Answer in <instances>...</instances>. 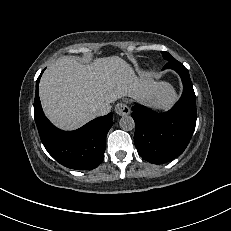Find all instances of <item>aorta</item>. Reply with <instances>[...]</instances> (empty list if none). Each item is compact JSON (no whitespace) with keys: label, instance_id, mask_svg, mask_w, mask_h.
Wrapping results in <instances>:
<instances>
[{"label":"aorta","instance_id":"1","mask_svg":"<svg viewBox=\"0 0 231 231\" xmlns=\"http://www.w3.org/2000/svg\"><path fill=\"white\" fill-rule=\"evenodd\" d=\"M120 128L125 131H131L135 127V122L131 116H123L119 121Z\"/></svg>","mask_w":231,"mask_h":231}]
</instances>
